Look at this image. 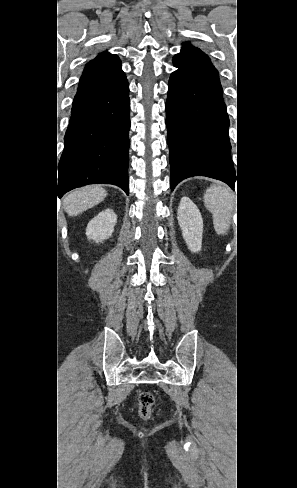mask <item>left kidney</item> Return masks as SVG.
Segmentation results:
<instances>
[{
  "mask_svg": "<svg viewBox=\"0 0 297 488\" xmlns=\"http://www.w3.org/2000/svg\"><path fill=\"white\" fill-rule=\"evenodd\" d=\"M178 222L183 238L191 252H199L202 245L203 219L197 206L188 197L180 200Z\"/></svg>",
  "mask_w": 297,
  "mask_h": 488,
  "instance_id": "left-kidney-1",
  "label": "left kidney"
}]
</instances>
